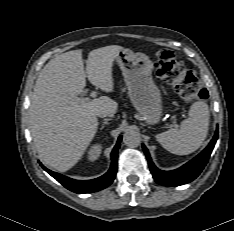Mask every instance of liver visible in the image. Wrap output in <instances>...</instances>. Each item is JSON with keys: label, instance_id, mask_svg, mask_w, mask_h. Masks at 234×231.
<instances>
[{"label": "liver", "instance_id": "6515ba94", "mask_svg": "<svg viewBox=\"0 0 234 231\" xmlns=\"http://www.w3.org/2000/svg\"><path fill=\"white\" fill-rule=\"evenodd\" d=\"M122 46L110 45L89 52L86 71L82 50L65 52L51 59L40 72L31 97L29 125L40 160L59 172L72 168L93 140L97 114L114 115L118 104L107 96L77 102L88 80L112 92L113 63Z\"/></svg>", "mask_w": 234, "mask_h": 231}]
</instances>
